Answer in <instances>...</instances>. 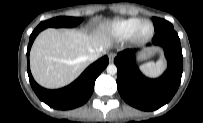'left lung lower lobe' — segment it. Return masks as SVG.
Wrapping results in <instances>:
<instances>
[{"mask_svg": "<svg viewBox=\"0 0 203 123\" xmlns=\"http://www.w3.org/2000/svg\"><path fill=\"white\" fill-rule=\"evenodd\" d=\"M152 42L164 49L168 63L167 70L157 79H149L140 72L135 63L136 50L119 52L114 59L120 95L128 104L144 111H153L168 103L179 88L183 72L180 39L174 29L156 33Z\"/></svg>", "mask_w": 203, "mask_h": 123, "instance_id": "0a47b994", "label": "left lung lower lobe"}]
</instances>
